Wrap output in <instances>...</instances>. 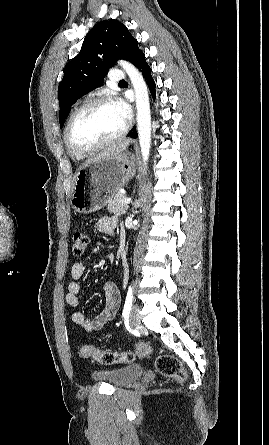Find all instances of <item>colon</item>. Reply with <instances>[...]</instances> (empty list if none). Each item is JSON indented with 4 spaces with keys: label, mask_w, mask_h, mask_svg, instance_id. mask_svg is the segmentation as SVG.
I'll use <instances>...</instances> for the list:
<instances>
[{
    "label": "colon",
    "mask_w": 269,
    "mask_h": 445,
    "mask_svg": "<svg viewBox=\"0 0 269 445\" xmlns=\"http://www.w3.org/2000/svg\"><path fill=\"white\" fill-rule=\"evenodd\" d=\"M89 244V237L84 232H77L74 234L72 239V252L75 256H81ZM150 353V348L144 344L139 343L136 348V353L133 351H123V352H109L99 350L91 345H84L80 351L79 355L82 358H93L98 362L106 365L117 364V363H132L136 354L140 356H148ZM155 368L159 374L165 377L176 378L178 380H183L185 378V373L182 369V365L178 358L170 354H161L155 358Z\"/></svg>",
    "instance_id": "obj_1"
}]
</instances>
